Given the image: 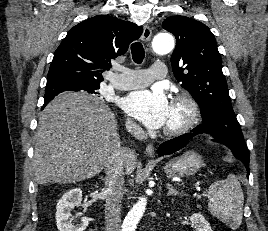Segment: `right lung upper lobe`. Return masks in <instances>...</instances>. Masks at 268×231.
Wrapping results in <instances>:
<instances>
[{
	"mask_svg": "<svg viewBox=\"0 0 268 231\" xmlns=\"http://www.w3.org/2000/svg\"><path fill=\"white\" fill-rule=\"evenodd\" d=\"M143 28L108 15H98L74 26L55 51L46 87L58 84L99 86L111 59L123 55ZM53 98L45 96L44 104Z\"/></svg>",
	"mask_w": 268,
	"mask_h": 231,
	"instance_id": "1",
	"label": "right lung upper lobe"
}]
</instances>
